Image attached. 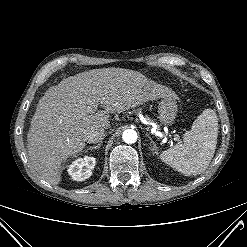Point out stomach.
<instances>
[{"label":"stomach","mask_w":247,"mask_h":247,"mask_svg":"<svg viewBox=\"0 0 247 247\" xmlns=\"http://www.w3.org/2000/svg\"><path fill=\"white\" fill-rule=\"evenodd\" d=\"M177 103L173 98H164L158 107L159 120L162 125H172L177 115Z\"/></svg>","instance_id":"0dacf381"}]
</instances>
